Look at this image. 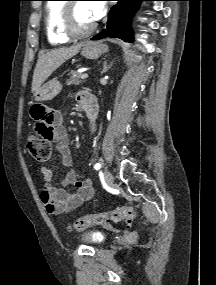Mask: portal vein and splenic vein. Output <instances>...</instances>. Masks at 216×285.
I'll return each mask as SVG.
<instances>
[{"label":"portal vein and splenic vein","instance_id":"obj_1","mask_svg":"<svg viewBox=\"0 0 216 285\" xmlns=\"http://www.w3.org/2000/svg\"><path fill=\"white\" fill-rule=\"evenodd\" d=\"M81 78H82V79L88 78V74H87V73L82 74Z\"/></svg>","mask_w":216,"mask_h":285}]
</instances>
